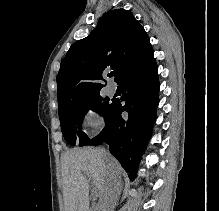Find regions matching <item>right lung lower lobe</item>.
<instances>
[{
    "mask_svg": "<svg viewBox=\"0 0 219 211\" xmlns=\"http://www.w3.org/2000/svg\"><path fill=\"white\" fill-rule=\"evenodd\" d=\"M118 85L123 92L121 99L113 100L106 126L86 145L109 144L110 152L133 180L156 119L160 85L155 59L129 72ZM122 112L128 116L122 117Z\"/></svg>",
    "mask_w": 219,
    "mask_h": 211,
    "instance_id": "98d812e1",
    "label": "right lung lower lobe"
}]
</instances>
